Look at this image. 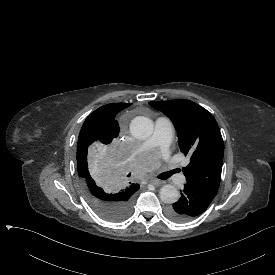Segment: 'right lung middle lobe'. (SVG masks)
Returning a JSON list of instances; mask_svg holds the SVG:
<instances>
[{
    "label": "right lung middle lobe",
    "mask_w": 275,
    "mask_h": 275,
    "mask_svg": "<svg viewBox=\"0 0 275 275\" xmlns=\"http://www.w3.org/2000/svg\"><path fill=\"white\" fill-rule=\"evenodd\" d=\"M128 162V153L117 147L92 146L87 148L81 162L77 159L78 173L86 200L107 220L120 221L131 212L132 194H117L125 188Z\"/></svg>",
    "instance_id": "1"
}]
</instances>
